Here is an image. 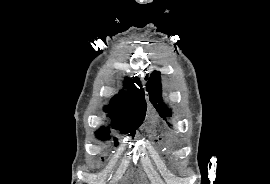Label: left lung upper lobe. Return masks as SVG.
<instances>
[{
    "label": "left lung upper lobe",
    "mask_w": 270,
    "mask_h": 184,
    "mask_svg": "<svg viewBox=\"0 0 270 184\" xmlns=\"http://www.w3.org/2000/svg\"><path fill=\"white\" fill-rule=\"evenodd\" d=\"M160 73L155 71L152 73L149 81L147 82L146 88L149 91V98L153 106L160 112V116L166 118L169 115V110L163 102L162 94L159 90L160 87Z\"/></svg>",
    "instance_id": "obj_1"
}]
</instances>
